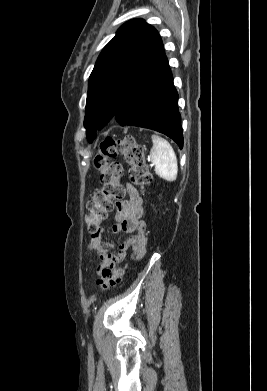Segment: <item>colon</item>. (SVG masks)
<instances>
[{"instance_id":"5ec220e1","label":"colon","mask_w":267,"mask_h":391,"mask_svg":"<svg viewBox=\"0 0 267 391\" xmlns=\"http://www.w3.org/2000/svg\"><path fill=\"white\" fill-rule=\"evenodd\" d=\"M118 155H123L130 165L129 177L131 182L139 186H147L152 181L148 170L144 148L133 136L127 135L122 139L105 138L93 158V166L100 174L102 189L97 191L87 204L86 227L92 238L102 231L103 222L113 208V201L124 197L125 190L120 184L122 165L112 161ZM122 268L108 267L102 270L98 285L102 290H108L123 278Z\"/></svg>"}]
</instances>
